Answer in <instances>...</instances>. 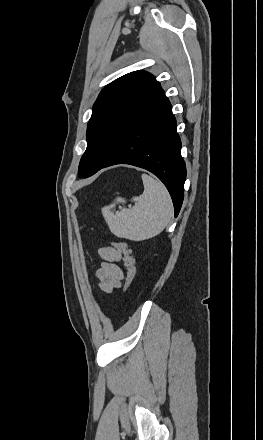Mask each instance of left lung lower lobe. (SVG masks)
<instances>
[{"label": "left lung lower lobe", "instance_id": "obj_1", "mask_svg": "<svg viewBox=\"0 0 263 440\" xmlns=\"http://www.w3.org/2000/svg\"><path fill=\"white\" fill-rule=\"evenodd\" d=\"M176 127L171 104L160 89L136 114L115 153L102 167L130 164L155 174L171 195L175 217L183 202L186 179Z\"/></svg>", "mask_w": 263, "mask_h": 440}]
</instances>
